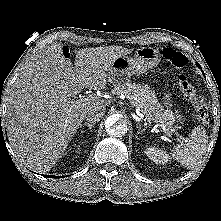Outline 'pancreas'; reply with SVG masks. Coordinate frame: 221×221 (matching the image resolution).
<instances>
[{
  "label": "pancreas",
  "mask_w": 221,
  "mask_h": 221,
  "mask_svg": "<svg viewBox=\"0 0 221 221\" xmlns=\"http://www.w3.org/2000/svg\"><path fill=\"white\" fill-rule=\"evenodd\" d=\"M112 94H124L131 104H135L140 108V112L144 114L149 121L163 125L168 131L173 128L175 121H182L181 115L174 114L171 110H165L157 101L154 93L144 89L136 83L126 82L116 86L112 90Z\"/></svg>",
  "instance_id": "cf45deb5"
}]
</instances>
